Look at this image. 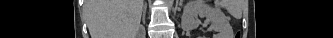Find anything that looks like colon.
<instances>
[{
	"label": "colon",
	"mask_w": 333,
	"mask_h": 38,
	"mask_svg": "<svg viewBox=\"0 0 333 38\" xmlns=\"http://www.w3.org/2000/svg\"><path fill=\"white\" fill-rule=\"evenodd\" d=\"M236 38H240V33H237Z\"/></svg>",
	"instance_id": "colon-1"
}]
</instances>
